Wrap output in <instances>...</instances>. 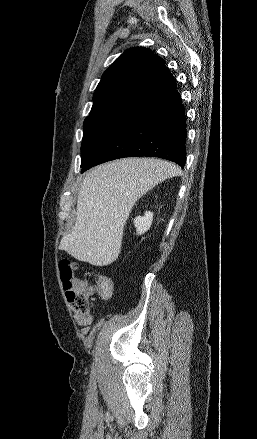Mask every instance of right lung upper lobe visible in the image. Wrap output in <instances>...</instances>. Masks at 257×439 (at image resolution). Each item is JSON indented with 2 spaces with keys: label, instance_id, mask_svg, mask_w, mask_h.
Wrapping results in <instances>:
<instances>
[{
  "label": "right lung upper lobe",
  "instance_id": "cb5924a9",
  "mask_svg": "<svg viewBox=\"0 0 257 439\" xmlns=\"http://www.w3.org/2000/svg\"><path fill=\"white\" fill-rule=\"evenodd\" d=\"M175 89V80L163 59L148 48H132L103 73L88 117L129 118Z\"/></svg>",
  "mask_w": 257,
  "mask_h": 439
}]
</instances>
